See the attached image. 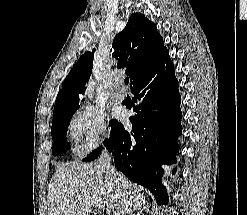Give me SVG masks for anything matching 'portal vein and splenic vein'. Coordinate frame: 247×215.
<instances>
[{"instance_id":"obj_1","label":"portal vein and splenic vein","mask_w":247,"mask_h":215,"mask_svg":"<svg viewBox=\"0 0 247 215\" xmlns=\"http://www.w3.org/2000/svg\"><path fill=\"white\" fill-rule=\"evenodd\" d=\"M92 203L94 204L95 208H98L100 210L105 209V203L100 198H93Z\"/></svg>"}]
</instances>
